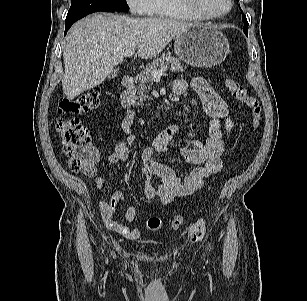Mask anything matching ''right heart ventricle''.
Returning <instances> with one entry per match:
<instances>
[{
	"label": "right heart ventricle",
	"instance_id": "1",
	"mask_svg": "<svg viewBox=\"0 0 307 301\" xmlns=\"http://www.w3.org/2000/svg\"><path fill=\"white\" fill-rule=\"evenodd\" d=\"M149 15L158 19H176L183 21L204 20L186 11L178 0H154L153 9Z\"/></svg>",
	"mask_w": 307,
	"mask_h": 301
}]
</instances>
